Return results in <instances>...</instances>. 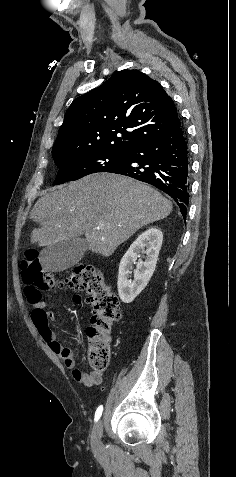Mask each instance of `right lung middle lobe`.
<instances>
[{
  "mask_svg": "<svg viewBox=\"0 0 236 477\" xmlns=\"http://www.w3.org/2000/svg\"><path fill=\"white\" fill-rule=\"evenodd\" d=\"M59 168L54 185L78 180L87 175L108 172L127 161V153L89 149L81 153L53 156Z\"/></svg>",
  "mask_w": 236,
  "mask_h": 477,
  "instance_id": "obj_1",
  "label": "right lung middle lobe"
}]
</instances>
